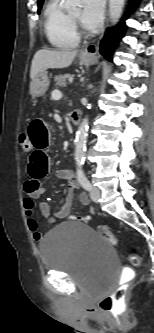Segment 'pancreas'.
<instances>
[{
    "mask_svg": "<svg viewBox=\"0 0 154 333\" xmlns=\"http://www.w3.org/2000/svg\"><path fill=\"white\" fill-rule=\"evenodd\" d=\"M71 78H73V75H69V74L59 75V76L55 77V79H54L55 86L56 87L66 86V80L71 79Z\"/></svg>",
    "mask_w": 154,
    "mask_h": 333,
    "instance_id": "cf45deb5",
    "label": "pancreas"
}]
</instances>
